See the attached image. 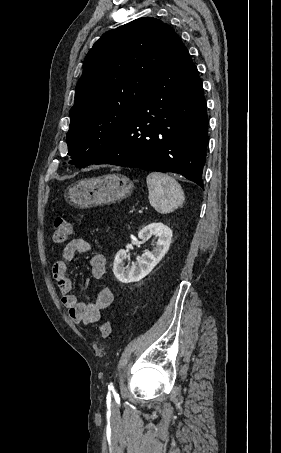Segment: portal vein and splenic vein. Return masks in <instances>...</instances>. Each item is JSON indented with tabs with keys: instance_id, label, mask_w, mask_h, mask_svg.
Listing matches in <instances>:
<instances>
[{
	"instance_id": "1",
	"label": "portal vein and splenic vein",
	"mask_w": 281,
	"mask_h": 453,
	"mask_svg": "<svg viewBox=\"0 0 281 453\" xmlns=\"http://www.w3.org/2000/svg\"><path fill=\"white\" fill-rule=\"evenodd\" d=\"M150 209L149 208H141L140 210L137 211V208L136 207H133L132 208V211L133 212H138V213H141L142 211H149ZM131 210L129 211L130 213L132 212Z\"/></svg>"
}]
</instances>
